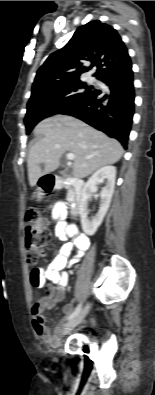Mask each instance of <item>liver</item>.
Segmentation results:
<instances>
[{"label":"liver","instance_id":"1","mask_svg":"<svg viewBox=\"0 0 155 395\" xmlns=\"http://www.w3.org/2000/svg\"><path fill=\"white\" fill-rule=\"evenodd\" d=\"M43 138L28 154V179L31 187L39 178L55 171L66 152L75 155L72 173L84 178L94 171L115 164L123 155L121 144L72 116L55 115L42 120L34 129ZM41 164H44L42 170Z\"/></svg>","mask_w":155,"mask_h":395}]
</instances>
